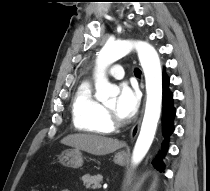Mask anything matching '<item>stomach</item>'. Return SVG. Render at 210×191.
Segmentation results:
<instances>
[{"mask_svg": "<svg viewBox=\"0 0 210 191\" xmlns=\"http://www.w3.org/2000/svg\"><path fill=\"white\" fill-rule=\"evenodd\" d=\"M59 162L66 167L80 168L83 165L82 153L78 149L66 150L60 155ZM114 162L122 166L126 163V156L122 152L117 153Z\"/></svg>", "mask_w": 210, "mask_h": 191, "instance_id": "1", "label": "stomach"}]
</instances>
